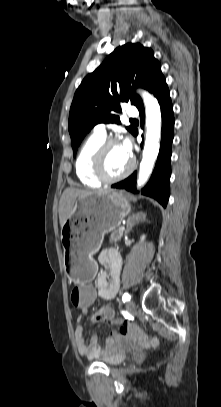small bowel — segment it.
Returning <instances> with one entry per match:
<instances>
[{
    "instance_id": "1",
    "label": "small bowel",
    "mask_w": 221,
    "mask_h": 407,
    "mask_svg": "<svg viewBox=\"0 0 221 407\" xmlns=\"http://www.w3.org/2000/svg\"><path fill=\"white\" fill-rule=\"evenodd\" d=\"M99 263L109 270L107 271H100L96 278V286L95 291L97 293V297H101L107 301L105 305H111L110 301L114 299L116 296L118 289H119V282H120V271H121V256L119 252L114 248L104 249L100 252L98 257ZM88 283V282H84ZM73 292V291H72ZM95 301V300H94ZM103 305H93L92 306V313L94 314L91 318V323L93 325H101L102 324V316H103ZM82 315L77 318V325L74 329V338L77 346L78 352L82 356H86L88 358L98 357L100 355L108 354L113 352L117 349L116 341L119 339L123 333L121 331L112 332V336L106 340L104 349H102L99 344L97 343V337L93 336L89 343L85 341L83 336V326L82 316L87 313V311H81ZM99 315V316H97ZM114 322V321H112ZM126 326V325H124Z\"/></svg>"
}]
</instances>
